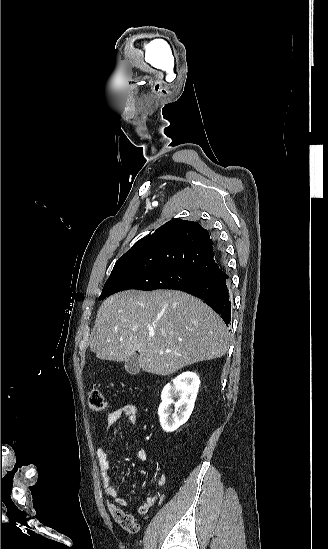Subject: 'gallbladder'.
<instances>
[{
    "instance_id": "1",
    "label": "gallbladder",
    "mask_w": 328,
    "mask_h": 549,
    "mask_svg": "<svg viewBox=\"0 0 328 549\" xmlns=\"http://www.w3.org/2000/svg\"><path fill=\"white\" fill-rule=\"evenodd\" d=\"M125 371L129 373V375H138L140 373V363H139V355L135 353V355H132V357H128L127 361L124 363Z\"/></svg>"
}]
</instances>
